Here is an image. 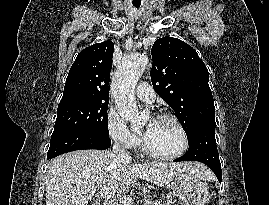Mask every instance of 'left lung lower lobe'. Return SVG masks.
Here are the masks:
<instances>
[{
    "label": "left lung lower lobe",
    "instance_id": "obj_1",
    "mask_svg": "<svg viewBox=\"0 0 269 205\" xmlns=\"http://www.w3.org/2000/svg\"><path fill=\"white\" fill-rule=\"evenodd\" d=\"M190 146L187 153L175 161H199L212 169L221 182V164L215 140V127L201 128L189 140Z\"/></svg>",
    "mask_w": 269,
    "mask_h": 205
}]
</instances>
